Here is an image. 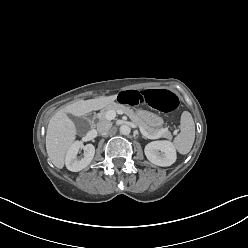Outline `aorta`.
Here are the masks:
<instances>
[{"label":"aorta","mask_w":248,"mask_h":248,"mask_svg":"<svg viewBox=\"0 0 248 248\" xmlns=\"http://www.w3.org/2000/svg\"><path fill=\"white\" fill-rule=\"evenodd\" d=\"M120 132H121V134H123V135H128V134H130V132H131V128H130L128 125H122V126L120 127Z\"/></svg>","instance_id":"1"}]
</instances>
